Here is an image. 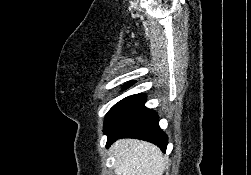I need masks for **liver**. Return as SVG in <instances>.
I'll list each match as a JSON object with an SVG mask.
<instances>
[{
	"instance_id": "1",
	"label": "liver",
	"mask_w": 251,
	"mask_h": 175,
	"mask_svg": "<svg viewBox=\"0 0 251 175\" xmlns=\"http://www.w3.org/2000/svg\"><path fill=\"white\" fill-rule=\"evenodd\" d=\"M116 175H163L166 157L161 149L141 139H118L111 147Z\"/></svg>"
}]
</instances>
